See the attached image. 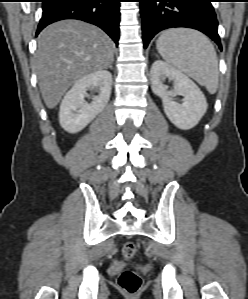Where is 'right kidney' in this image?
<instances>
[{"label":"right kidney","instance_id":"ca27d5eb","mask_svg":"<svg viewBox=\"0 0 248 299\" xmlns=\"http://www.w3.org/2000/svg\"><path fill=\"white\" fill-rule=\"evenodd\" d=\"M112 86V75L106 70H98L79 79L64 96L59 111L61 127L76 133L85 128L107 105ZM94 89L98 95L91 103L85 101L87 91Z\"/></svg>","mask_w":248,"mask_h":299}]
</instances>
